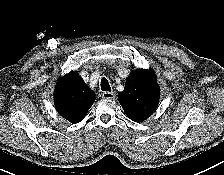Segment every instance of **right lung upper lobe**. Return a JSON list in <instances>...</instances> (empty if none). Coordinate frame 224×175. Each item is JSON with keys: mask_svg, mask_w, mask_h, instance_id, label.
Listing matches in <instances>:
<instances>
[{"mask_svg": "<svg viewBox=\"0 0 224 175\" xmlns=\"http://www.w3.org/2000/svg\"><path fill=\"white\" fill-rule=\"evenodd\" d=\"M95 101V93L84 83L77 72L60 78L54 91L58 113L71 123L84 119Z\"/></svg>", "mask_w": 224, "mask_h": 175, "instance_id": "right-lung-upper-lobe-1", "label": "right lung upper lobe"}]
</instances>
